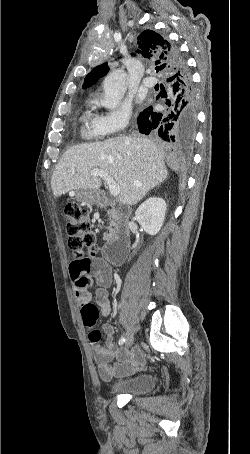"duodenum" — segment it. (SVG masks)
<instances>
[{
	"label": "duodenum",
	"mask_w": 250,
	"mask_h": 454,
	"mask_svg": "<svg viewBox=\"0 0 250 454\" xmlns=\"http://www.w3.org/2000/svg\"><path fill=\"white\" fill-rule=\"evenodd\" d=\"M98 203L102 207L111 208V214L115 217L116 223L108 243L103 248L106 260L115 266L122 265L125 262L129 247L130 232L127 221H121L124 210L117 205L110 203L104 195H99Z\"/></svg>",
	"instance_id": "obj_1"
}]
</instances>
